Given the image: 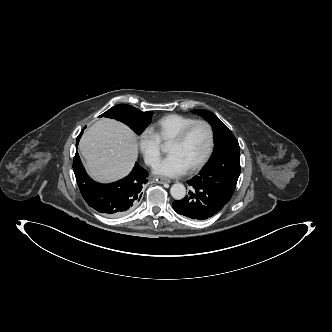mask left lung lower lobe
<instances>
[{
	"mask_svg": "<svg viewBox=\"0 0 332 332\" xmlns=\"http://www.w3.org/2000/svg\"><path fill=\"white\" fill-rule=\"evenodd\" d=\"M192 190L184 199L173 202L178 213L194 220H206L218 213L229 200L195 176L187 182Z\"/></svg>",
	"mask_w": 332,
	"mask_h": 332,
	"instance_id": "1",
	"label": "left lung lower lobe"
}]
</instances>
